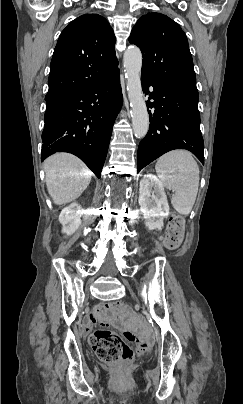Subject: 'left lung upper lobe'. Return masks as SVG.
<instances>
[{"mask_svg": "<svg viewBox=\"0 0 243 404\" xmlns=\"http://www.w3.org/2000/svg\"><path fill=\"white\" fill-rule=\"evenodd\" d=\"M129 41L141 49V76L196 87L187 37L172 19L155 12L143 15L133 27Z\"/></svg>", "mask_w": 243, "mask_h": 404, "instance_id": "1", "label": "left lung upper lobe"}]
</instances>
